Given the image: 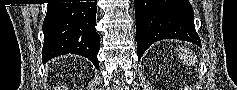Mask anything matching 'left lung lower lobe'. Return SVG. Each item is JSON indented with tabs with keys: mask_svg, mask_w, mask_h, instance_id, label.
Segmentation results:
<instances>
[{
	"mask_svg": "<svg viewBox=\"0 0 237 90\" xmlns=\"http://www.w3.org/2000/svg\"><path fill=\"white\" fill-rule=\"evenodd\" d=\"M136 41L139 60L161 39H180L201 46L188 0H135Z\"/></svg>",
	"mask_w": 237,
	"mask_h": 90,
	"instance_id": "1",
	"label": "left lung lower lobe"
}]
</instances>
